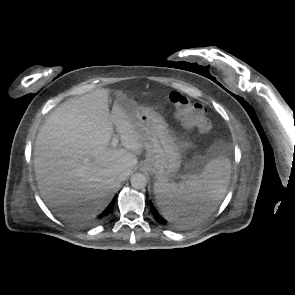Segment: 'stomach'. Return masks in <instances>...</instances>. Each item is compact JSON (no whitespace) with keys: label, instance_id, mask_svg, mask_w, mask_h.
Here are the masks:
<instances>
[{"label":"stomach","instance_id":"1","mask_svg":"<svg viewBox=\"0 0 295 295\" xmlns=\"http://www.w3.org/2000/svg\"><path fill=\"white\" fill-rule=\"evenodd\" d=\"M124 110L141 135L147 150L143 169L153 173L158 180L175 177L182 161V144L169 129L160 113L121 96Z\"/></svg>","mask_w":295,"mask_h":295}]
</instances>
